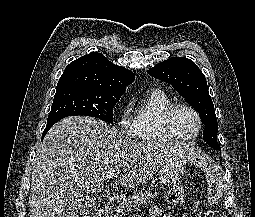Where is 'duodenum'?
Here are the masks:
<instances>
[{
  "label": "duodenum",
  "instance_id": "duodenum-1",
  "mask_svg": "<svg viewBox=\"0 0 255 217\" xmlns=\"http://www.w3.org/2000/svg\"><path fill=\"white\" fill-rule=\"evenodd\" d=\"M108 211L107 207H102L95 211L93 217H108Z\"/></svg>",
  "mask_w": 255,
  "mask_h": 217
}]
</instances>
